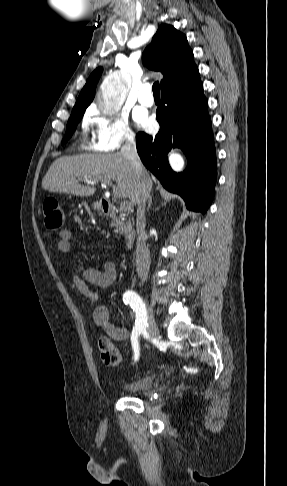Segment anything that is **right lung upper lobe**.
I'll return each mask as SVG.
<instances>
[{"label": "right lung upper lobe", "mask_w": 287, "mask_h": 486, "mask_svg": "<svg viewBox=\"0 0 287 486\" xmlns=\"http://www.w3.org/2000/svg\"><path fill=\"white\" fill-rule=\"evenodd\" d=\"M142 60L146 67L163 74L162 91L175 88L199 77L198 68L193 61V52L188 46L186 36L171 25L159 26L151 43L144 50ZM101 73L102 68L99 67L89 76L72 109V114L85 112L93 101Z\"/></svg>", "instance_id": "right-lung-upper-lobe-1"}]
</instances>
